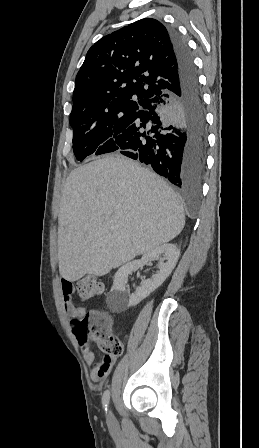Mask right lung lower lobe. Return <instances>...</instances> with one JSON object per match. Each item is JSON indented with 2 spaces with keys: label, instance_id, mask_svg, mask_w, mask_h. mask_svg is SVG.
I'll list each match as a JSON object with an SVG mask.
<instances>
[{
  "label": "right lung lower lobe",
  "instance_id": "1",
  "mask_svg": "<svg viewBox=\"0 0 259 448\" xmlns=\"http://www.w3.org/2000/svg\"><path fill=\"white\" fill-rule=\"evenodd\" d=\"M176 58L179 85L142 105L117 137L113 151L151 165L174 186L198 187L207 148L205 110L192 55L177 30L166 28Z\"/></svg>",
  "mask_w": 259,
  "mask_h": 448
}]
</instances>
